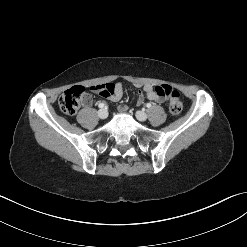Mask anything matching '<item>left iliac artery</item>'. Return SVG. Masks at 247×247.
<instances>
[{"label":"left iliac artery","instance_id":"44dca946","mask_svg":"<svg viewBox=\"0 0 247 247\" xmlns=\"http://www.w3.org/2000/svg\"><path fill=\"white\" fill-rule=\"evenodd\" d=\"M146 107H147V108H150V107H151V103H147V104H146Z\"/></svg>","mask_w":247,"mask_h":247}]
</instances>
